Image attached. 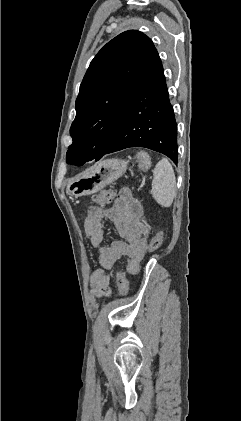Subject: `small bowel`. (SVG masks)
<instances>
[{
	"mask_svg": "<svg viewBox=\"0 0 241 421\" xmlns=\"http://www.w3.org/2000/svg\"><path fill=\"white\" fill-rule=\"evenodd\" d=\"M143 207L135 199L129 188H122L119 196L110 208L90 207L84 221V228L91 245L99 253L101 268L91 275L93 294L98 298L112 295L110 271L122 257L140 261L146 250L148 228L141 222ZM104 221L114 224L122 238L110 245L103 243Z\"/></svg>",
	"mask_w": 241,
	"mask_h": 421,
	"instance_id": "1",
	"label": "small bowel"
}]
</instances>
